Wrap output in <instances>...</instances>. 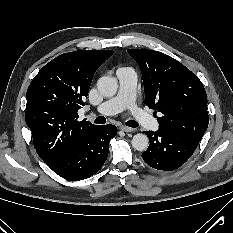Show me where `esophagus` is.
<instances>
[{
    "mask_svg": "<svg viewBox=\"0 0 233 233\" xmlns=\"http://www.w3.org/2000/svg\"><path fill=\"white\" fill-rule=\"evenodd\" d=\"M120 130H122L123 132H133V128L127 127L125 125H122L120 127Z\"/></svg>",
    "mask_w": 233,
    "mask_h": 233,
    "instance_id": "obj_1",
    "label": "esophagus"
}]
</instances>
